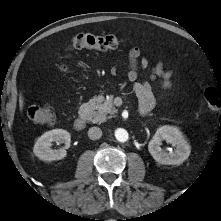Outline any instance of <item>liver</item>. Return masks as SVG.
I'll use <instances>...</instances> for the list:
<instances>
[{
  "instance_id": "6515ba94",
  "label": "liver",
  "mask_w": 221,
  "mask_h": 221,
  "mask_svg": "<svg viewBox=\"0 0 221 221\" xmlns=\"http://www.w3.org/2000/svg\"><path fill=\"white\" fill-rule=\"evenodd\" d=\"M23 107H24V100H23V96L21 95L20 98H19V108H20V111L23 110Z\"/></svg>"
}]
</instances>
